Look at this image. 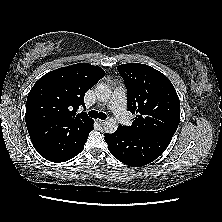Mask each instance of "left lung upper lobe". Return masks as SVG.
<instances>
[{"label":"left lung upper lobe","instance_id":"left-lung-upper-lobe-1","mask_svg":"<svg viewBox=\"0 0 222 222\" xmlns=\"http://www.w3.org/2000/svg\"><path fill=\"white\" fill-rule=\"evenodd\" d=\"M127 88L128 111L135 114L130 133L173 137L180 122V101L170 80L158 70L139 63L117 67Z\"/></svg>","mask_w":222,"mask_h":222}]
</instances>
